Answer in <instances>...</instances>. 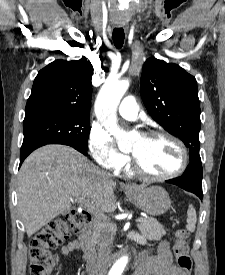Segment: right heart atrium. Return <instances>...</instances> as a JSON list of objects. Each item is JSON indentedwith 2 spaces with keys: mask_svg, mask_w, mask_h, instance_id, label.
<instances>
[{
  "mask_svg": "<svg viewBox=\"0 0 225 275\" xmlns=\"http://www.w3.org/2000/svg\"><path fill=\"white\" fill-rule=\"evenodd\" d=\"M88 145L94 160L105 169L120 171L130 163L129 157L117 149L110 134L100 126H92Z\"/></svg>",
  "mask_w": 225,
  "mask_h": 275,
  "instance_id": "obj_1",
  "label": "right heart atrium"
}]
</instances>
